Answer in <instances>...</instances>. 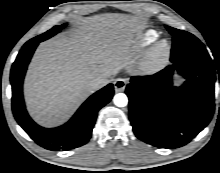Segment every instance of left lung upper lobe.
I'll list each match as a JSON object with an SVG mask.
<instances>
[{"instance_id": "left-lung-upper-lobe-1", "label": "left lung upper lobe", "mask_w": 220, "mask_h": 173, "mask_svg": "<svg viewBox=\"0 0 220 173\" xmlns=\"http://www.w3.org/2000/svg\"><path fill=\"white\" fill-rule=\"evenodd\" d=\"M166 28L173 36L172 60H180L188 56H209L205 46L194 35L169 26Z\"/></svg>"}]
</instances>
